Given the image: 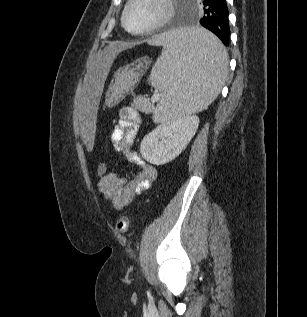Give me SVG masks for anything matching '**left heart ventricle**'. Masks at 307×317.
Instances as JSON below:
<instances>
[{"label": "left heart ventricle", "mask_w": 307, "mask_h": 317, "mask_svg": "<svg viewBox=\"0 0 307 317\" xmlns=\"http://www.w3.org/2000/svg\"><path fill=\"white\" fill-rule=\"evenodd\" d=\"M162 0H136L126 16V25L132 31L145 29L165 12Z\"/></svg>", "instance_id": "b2bd125f"}]
</instances>
